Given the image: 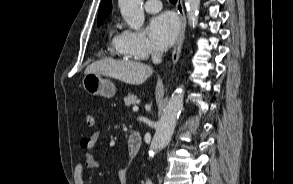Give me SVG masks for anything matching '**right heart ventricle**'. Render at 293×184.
Returning <instances> with one entry per match:
<instances>
[{"label": "right heart ventricle", "mask_w": 293, "mask_h": 184, "mask_svg": "<svg viewBox=\"0 0 293 184\" xmlns=\"http://www.w3.org/2000/svg\"><path fill=\"white\" fill-rule=\"evenodd\" d=\"M117 38H118V36H115L112 40V53L114 55L121 56V57H132L119 47V45L117 43Z\"/></svg>", "instance_id": "right-heart-ventricle-1"}]
</instances>
